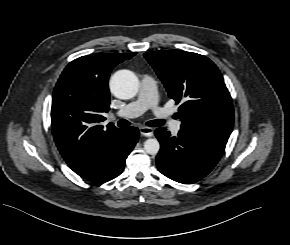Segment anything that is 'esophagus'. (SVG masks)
<instances>
[{"mask_svg": "<svg viewBox=\"0 0 290 245\" xmlns=\"http://www.w3.org/2000/svg\"><path fill=\"white\" fill-rule=\"evenodd\" d=\"M140 133L145 137H152L154 135V129L144 126L140 128Z\"/></svg>", "mask_w": 290, "mask_h": 245, "instance_id": "obj_1", "label": "esophagus"}]
</instances>
